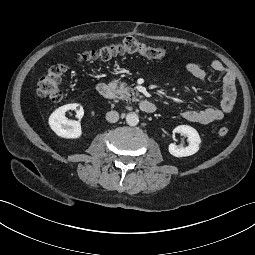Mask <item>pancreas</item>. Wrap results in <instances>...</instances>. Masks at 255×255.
Instances as JSON below:
<instances>
[{
    "instance_id": "pancreas-1",
    "label": "pancreas",
    "mask_w": 255,
    "mask_h": 255,
    "mask_svg": "<svg viewBox=\"0 0 255 255\" xmlns=\"http://www.w3.org/2000/svg\"><path fill=\"white\" fill-rule=\"evenodd\" d=\"M110 86L116 89V93L118 95V98L125 101H138L137 98L139 95L138 92H134V89L127 86L125 82H118L117 80H113L110 83ZM132 96V98H131Z\"/></svg>"
}]
</instances>
